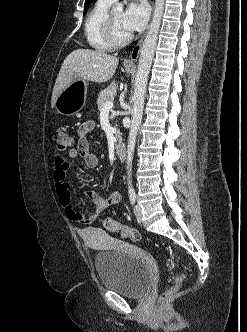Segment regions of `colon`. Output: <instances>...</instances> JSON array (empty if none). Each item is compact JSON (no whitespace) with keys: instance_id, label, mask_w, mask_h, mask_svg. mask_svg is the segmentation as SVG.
Segmentation results:
<instances>
[{"instance_id":"obj_1","label":"colon","mask_w":247,"mask_h":332,"mask_svg":"<svg viewBox=\"0 0 247 332\" xmlns=\"http://www.w3.org/2000/svg\"><path fill=\"white\" fill-rule=\"evenodd\" d=\"M53 141L58 151H65L73 145L72 136L68 132L67 128L63 126H58L53 130ZM103 226L106 230L110 232L119 233L121 234V236L131 241H138L140 239V233L138 230H136L135 228H131L129 226L122 225L113 219L110 218L105 219L103 222ZM183 279H184L183 274L174 277L173 287L166 290L162 294L161 300L166 301L167 299H169L179 288Z\"/></svg>"}]
</instances>
